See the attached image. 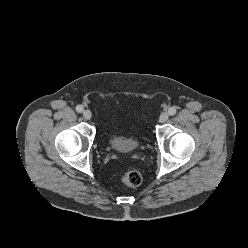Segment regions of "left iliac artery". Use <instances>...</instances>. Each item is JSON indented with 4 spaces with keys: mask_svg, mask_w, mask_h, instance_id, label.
Here are the masks:
<instances>
[{
    "mask_svg": "<svg viewBox=\"0 0 248 248\" xmlns=\"http://www.w3.org/2000/svg\"><path fill=\"white\" fill-rule=\"evenodd\" d=\"M176 108H174V107H171V108H169V110H168V114L170 115V116H173V115H175L176 114Z\"/></svg>",
    "mask_w": 248,
    "mask_h": 248,
    "instance_id": "left-iliac-artery-1",
    "label": "left iliac artery"
}]
</instances>
